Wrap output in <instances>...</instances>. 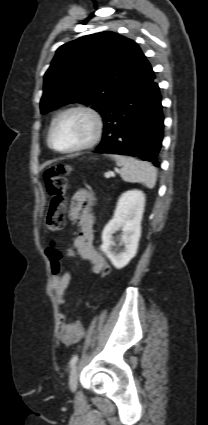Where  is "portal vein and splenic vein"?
<instances>
[{
	"label": "portal vein and splenic vein",
	"instance_id": "portal-vein-and-splenic-vein-1",
	"mask_svg": "<svg viewBox=\"0 0 208 425\" xmlns=\"http://www.w3.org/2000/svg\"><path fill=\"white\" fill-rule=\"evenodd\" d=\"M104 176L105 178H110L112 176V172H106Z\"/></svg>",
	"mask_w": 208,
	"mask_h": 425
}]
</instances>
